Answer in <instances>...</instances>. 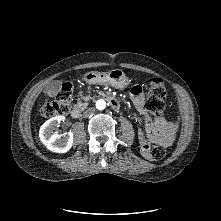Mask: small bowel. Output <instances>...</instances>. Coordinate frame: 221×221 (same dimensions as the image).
<instances>
[{"label": "small bowel", "mask_w": 221, "mask_h": 221, "mask_svg": "<svg viewBox=\"0 0 221 221\" xmlns=\"http://www.w3.org/2000/svg\"><path fill=\"white\" fill-rule=\"evenodd\" d=\"M132 102L143 119V128L138 131V138L142 154L149 158L151 143H165L169 145L176 132V124L169 122L164 116L159 115L151 118L146 107L143 89L134 86L131 89Z\"/></svg>", "instance_id": "obj_1"}]
</instances>
